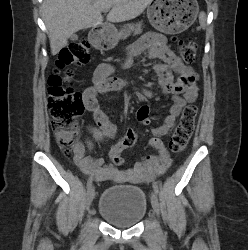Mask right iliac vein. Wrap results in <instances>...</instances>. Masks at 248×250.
Returning <instances> with one entry per match:
<instances>
[{"mask_svg": "<svg viewBox=\"0 0 248 250\" xmlns=\"http://www.w3.org/2000/svg\"><path fill=\"white\" fill-rule=\"evenodd\" d=\"M94 195H95V189L94 187L91 185L88 190H87V193H86V208L89 209L92 201H93V198H94Z\"/></svg>", "mask_w": 248, "mask_h": 250, "instance_id": "63e3f726", "label": "right iliac vein"}]
</instances>
